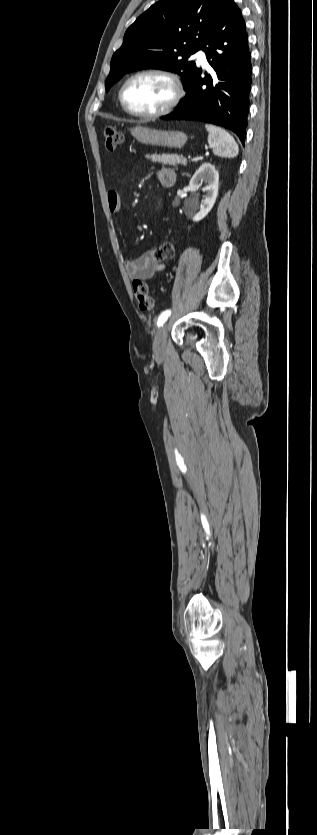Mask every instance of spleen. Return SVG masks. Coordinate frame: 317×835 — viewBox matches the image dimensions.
Segmentation results:
<instances>
[{
    "instance_id": "1",
    "label": "spleen",
    "mask_w": 317,
    "mask_h": 835,
    "mask_svg": "<svg viewBox=\"0 0 317 835\" xmlns=\"http://www.w3.org/2000/svg\"><path fill=\"white\" fill-rule=\"evenodd\" d=\"M205 128L208 131V143L215 155L227 158L238 155V145L226 130L212 124H206Z\"/></svg>"
}]
</instances>
